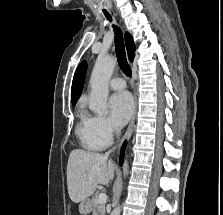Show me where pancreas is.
I'll list each match as a JSON object with an SVG mask.
<instances>
[{
    "label": "pancreas",
    "mask_w": 223,
    "mask_h": 215,
    "mask_svg": "<svg viewBox=\"0 0 223 215\" xmlns=\"http://www.w3.org/2000/svg\"><path fill=\"white\" fill-rule=\"evenodd\" d=\"M92 199L93 202H95V205H92L94 207L93 209L95 210L92 215H105V207L103 203H99L97 195H94Z\"/></svg>",
    "instance_id": "cf45deb5"
}]
</instances>
